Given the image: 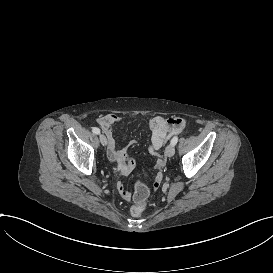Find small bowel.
<instances>
[{
  "label": "small bowel",
  "mask_w": 273,
  "mask_h": 273,
  "mask_svg": "<svg viewBox=\"0 0 273 273\" xmlns=\"http://www.w3.org/2000/svg\"><path fill=\"white\" fill-rule=\"evenodd\" d=\"M120 121L121 118L117 114L107 113L98 117L97 124L102 129L107 138L109 159L117 162L119 164V171L122 172L124 175H128L136 168V163L131 157L127 155V150L129 146L123 148H119L117 146L113 128L115 125L119 124ZM185 124V120L177 116L166 117L162 115H157L149 121L151 138L148 149L151 155L158 157L156 161V168L159 166L160 171H163L166 167V159L159 157L160 149L163 147L167 138L173 134L180 133L184 128ZM161 179L162 175L160 173H157L154 178V184L150 187L151 191H154L155 189H159L161 187ZM116 189L120 194L123 195L126 201H129L131 199L132 194L129 190L125 189L123 183L118 184L116 186Z\"/></svg>",
  "instance_id": "c3829d8e"
}]
</instances>
